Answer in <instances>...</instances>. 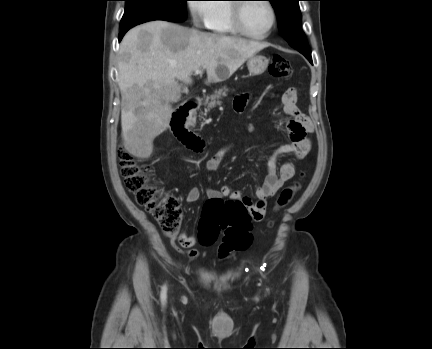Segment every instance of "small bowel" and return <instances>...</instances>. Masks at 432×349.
<instances>
[{
  "label": "small bowel",
  "mask_w": 432,
  "mask_h": 349,
  "mask_svg": "<svg viewBox=\"0 0 432 349\" xmlns=\"http://www.w3.org/2000/svg\"><path fill=\"white\" fill-rule=\"evenodd\" d=\"M282 105L284 113L290 117L287 120L286 126L288 129L289 141L281 145L269 158L264 183L256 188V199L242 196L239 191L234 190L231 186L225 185L221 189L208 188L207 196L210 200H223L228 197L231 200L243 202L250 211L252 221H262L266 214L267 200L273 197L282 186L290 180L295 174V166L291 162L284 163L278 168V157L283 154H292L296 160L303 159L311 149V140L308 137L313 133L314 126L310 118L303 114L298 108L297 94L294 88H288L282 95ZM249 101L248 94L237 95L233 102L235 112L241 113L244 111ZM232 148V144H227L216 151L206 161V169L208 171H216L226 155ZM201 191L197 187L189 190L186 196L187 203H195L200 199ZM178 243L187 248V254L194 259L198 256V251L192 249L196 243V237L193 234L182 232L177 236Z\"/></svg>",
  "instance_id": "1"
}]
</instances>
